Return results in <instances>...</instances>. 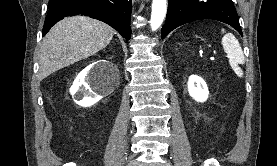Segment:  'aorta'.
I'll list each match as a JSON object with an SVG mask.
<instances>
[{
  "label": "aorta",
  "instance_id": "aorta-1",
  "mask_svg": "<svg viewBox=\"0 0 277 166\" xmlns=\"http://www.w3.org/2000/svg\"><path fill=\"white\" fill-rule=\"evenodd\" d=\"M167 11V0H153L150 26L156 31L162 24Z\"/></svg>",
  "mask_w": 277,
  "mask_h": 166
}]
</instances>
